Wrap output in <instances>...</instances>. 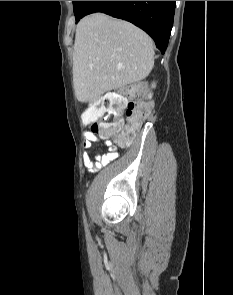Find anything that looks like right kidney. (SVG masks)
<instances>
[{
	"mask_svg": "<svg viewBox=\"0 0 233 295\" xmlns=\"http://www.w3.org/2000/svg\"><path fill=\"white\" fill-rule=\"evenodd\" d=\"M154 87H155V84H152V88H154ZM148 98H149V99L152 98V94H151V93L148 94Z\"/></svg>",
	"mask_w": 233,
	"mask_h": 295,
	"instance_id": "1",
	"label": "right kidney"
}]
</instances>
